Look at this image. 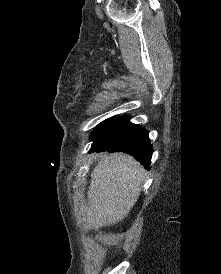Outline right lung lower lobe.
<instances>
[{
  "mask_svg": "<svg viewBox=\"0 0 221 274\" xmlns=\"http://www.w3.org/2000/svg\"><path fill=\"white\" fill-rule=\"evenodd\" d=\"M91 152H124L149 168L152 145L148 131L129 122L128 116L118 118L105 131L93 139Z\"/></svg>",
  "mask_w": 221,
  "mask_h": 274,
  "instance_id": "98d812e1",
  "label": "right lung lower lobe"
}]
</instances>
